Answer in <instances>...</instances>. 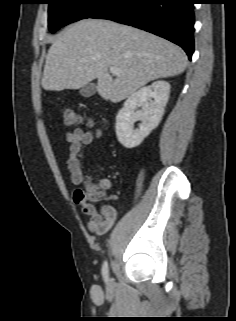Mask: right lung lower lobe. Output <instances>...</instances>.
Returning <instances> with one entry per match:
<instances>
[{"label":"right lung lower lobe","instance_id":"obj_1","mask_svg":"<svg viewBox=\"0 0 236 321\" xmlns=\"http://www.w3.org/2000/svg\"><path fill=\"white\" fill-rule=\"evenodd\" d=\"M195 0H111L90 18L108 19L146 30L194 52Z\"/></svg>","mask_w":236,"mask_h":321}]
</instances>
